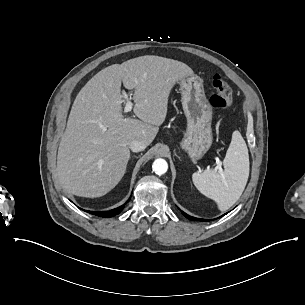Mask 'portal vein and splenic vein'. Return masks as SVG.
<instances>
[{"instance_id": "portal-vein-and-splenic-vein-1", "label": "portal vein and splenic vein", "mask_w": 305, "mask_h": 305, "mask_svg": "<svg viewBox=\"0 0 305 305\" xmlns=\"http://www.w3.org/2000/svg\"><path fill=\"white\" fill-rule=\"evenodd\" d=\"M134 90H130L128 93L127 92H122V99L119 101L120 103L125 102L126 106H125V111H131L133 109V106H142L139 103H133L132 99L130 97L131 94H133ZM216 163L218 164L217 168L214 169V171H219L222 172L223 169L220 167V163L216 161Z\"/></svg>"}]
</instances>
